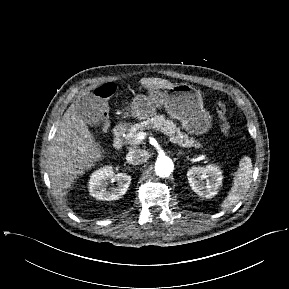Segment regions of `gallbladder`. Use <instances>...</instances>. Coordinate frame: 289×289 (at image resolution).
Segmentation results:
<instances>
[{
  "instance_id": "gallbladder-1",
  "label": "gallbladder",
  "mask_w": 289,
  "mask_h": 289,
  "mask_svg": "<svg viewBox=\"0 0 289 289\" xmlns=\"http://www.w3.org/2000/svg\"><path fill=\"white\" fill-rule=\"evenodd\" d=\"M77 111L82 115L84 121L90 125L98 126L102 121V109L91 93H87L76 102Z\"/></svg>"
}]
</instances>
